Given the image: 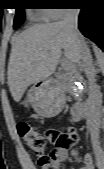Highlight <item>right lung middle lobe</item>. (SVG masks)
<instances>
[{
  "mask_svg": "<svg viewBox=\"0 0 104 169\" xmlns=\"http://www.w3.org/2000/svg\"><path fill=\"white\" fill-rule=\"evenodd\" d=\"M24 20V8L20 7L16 9L14 29L18 28Z\"/></svg>",
  "mask_w": 104,
  "mask_h": 169,
  "instance_id": "right-lung-middle-lobe-1",
  "label": "right lung middle lobe"
}]
</instances>
